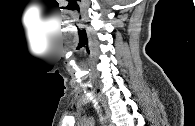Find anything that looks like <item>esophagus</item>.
Masks as SVG:
<instances>
[{"label":"esophagus","instance_id":"obj_1","mask_svg":"<svg viewBox=\"0 0 195 126\" xmlns=\"http://www.w3.org/2000/svg\"><path fill=\"white\" fill-rule=\"evenodd\" d=\"M97 96H98V99L100 100L103 108H104V111H105V116H106V119H107V122H108V125L109 126H113V123L111 121V112L107 106V104L105 103V101L103 100L102 96L100 95L99 92H97Z\"/></svg>","mask_w":195,"mask_h":126}]
</instances>
